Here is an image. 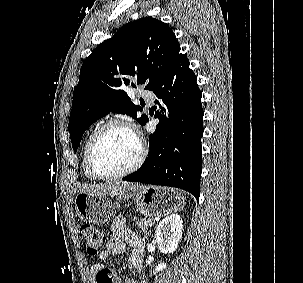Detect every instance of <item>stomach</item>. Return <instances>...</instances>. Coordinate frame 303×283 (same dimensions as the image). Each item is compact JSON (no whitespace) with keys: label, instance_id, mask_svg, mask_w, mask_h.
Here are the masks:
<instances>
[{"label":"stomach","instance_id":"obj_1","mask_svg":"<svg viewBox=\"0 0 303 283\" xmlns=\"http://www.w3.org/2000/svg\"><path fill=\"white\" fill-rule=\"evenodd\" d=\"M134 192L138 210L147 217L166 216L181 210L185 198L173 188L145 186L131 189ZM75 208L79 218L88 223H105L114 216V206L109 195L91 196L78 193Z\"/></svg>","mask_w":303,"mask_h":283}]
</instances>
